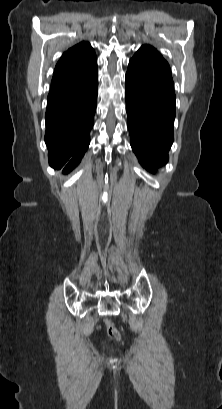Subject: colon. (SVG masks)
<instances>
[{
	"label": "colon",
	"mask_w": 222,
	"mask_h": 409,
	"mask_svg": "<svg viewBox=\"0 0 222 409\" xmlns=\"http://www.w3.org/2000/svg\"><path fill=\"white\" fill-rule=\"evenodd\" d=\"M108 325H109L108 332H109L111 339H113L114 341H119L121 339V336L116 326H114L110 322H108Z\"/></svg>",
	"instance_id": "colon-1"
}]
</instances>
